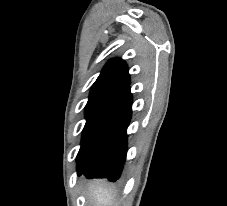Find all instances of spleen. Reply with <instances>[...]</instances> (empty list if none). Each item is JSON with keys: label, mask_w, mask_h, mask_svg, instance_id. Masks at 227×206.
Instances as JSON below:
<instances>
[{"label": "spleen", "mask_w": 227, "mask_h": 206, "mask_svg": "<svg viewBox=\"0 0 227 206\" xmlns=\"http://www.w3.org/2000/svg\"><path fill=\"white\" fill-rule=\"evenodd\" d=\"M93 196L96 198L98 204L105 206L113 201V192L111 189H103L100 187L91 188Z\"/></svg>", "instance_id": "3e777b00"}]
</instances>
